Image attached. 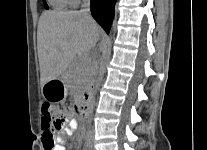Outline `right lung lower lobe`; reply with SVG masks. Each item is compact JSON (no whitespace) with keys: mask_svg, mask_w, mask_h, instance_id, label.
I'll list each match as a JSON object with an SVG mask.
<instances>
[{"mask_svg":"<svg viewBox=\"0 0 207 150\" xmlns=\"http://www.w3.org/2000/svg\"><path fill=\"white\" fill-rule=\"evenodd\" d=\"M116 0H91V12L98 24L109 33Z\"/></svg>","mask_w":207,"mask_h":150,"instance_id":"1","label":"right lung lower lobe"}]
</instances>
